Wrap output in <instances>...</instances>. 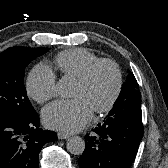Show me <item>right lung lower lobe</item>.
<instances>
[{
  "instance_id": "right-lung-lower-lobe-1",
  "label": "right lung lower lobe",
  "mask_w": 168,
  "mask_h": 168,
  "mask_svg": "<svg viewBox=\"0 0 168 168\" xmlns=\"http://www.w3.org/2000/svg\"><path fill=\"white\" fill-rule=\"evenodd\" d=\"M39 126L37 113L29 117L0 115V168H39L43 145L57 139L55 132Z\"/></svg>"
}]
</instances>
